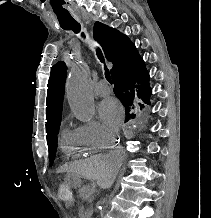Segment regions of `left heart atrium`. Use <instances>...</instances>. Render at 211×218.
I'll use <instances>...</instances> for the list:
<instances>
[{"mask_svg":"<svg viewBox=\"0 0 211 218\" xmlns=\"http://www.w3.org/2000/svg\"><path fill=\"white\" fill-rule=\"evenodd\" d=\"M99 113L103 122L114 132L122 118V111L117 101L113 98L104 100L100 104Z\"/></svg>","mask_w":211,"mask_h":218,"instance_id":"obj_1","label":"left heart atrium"}]
</instances>
